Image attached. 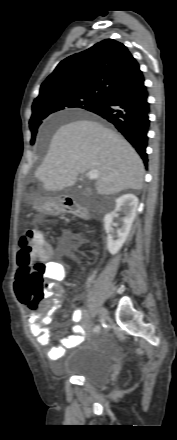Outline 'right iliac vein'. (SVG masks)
Wrapping results in <instances>:
<instances>
[{"instance_id": "63e3f726", "label": "right iliac vein", "mask_w": 177, "mask_h": 440, "mask_svg": "<svg viewBox=\"0 0 177 440\" xmlns=\"http://www.w3.org/2000/svg\"><path fill=\"white\" fill-rule=\"evenodd\" d=\"M100 320L101 322L105 321L108 318V311L106 308L101 307L99 310Z\"/></svg>"}]
</instances>
